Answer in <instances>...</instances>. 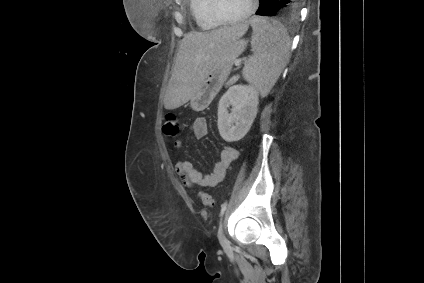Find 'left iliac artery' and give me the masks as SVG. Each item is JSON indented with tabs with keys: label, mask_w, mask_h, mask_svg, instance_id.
Here are the masks:
<instances>
[{
	"label": "left iliac artery",
	"mask_w": 424,
	"mask_h": 283,
	"mask_svg": "<svg viewBox=\"0 0 424 283\" xmlns=\"http://www.w3.org/2000/svg\"><path fill=\"white\" fill-rule=\"evenodd\" d=\"M226 207H227V202H224V203L222 204V206H221V212H220V216H221V217H222V216H223V214L225 213Z\"/></svg>",
	"instance_id": "left-iliac-artery-1"
}]
</instances>
